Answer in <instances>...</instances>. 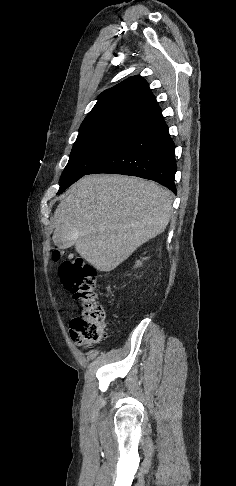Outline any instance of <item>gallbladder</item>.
<instances>
[{
    "label": "gallbladder",
    "instance_id": "bac80fb5",
    "mask_svg": "<svg viewBox=\"0 0 236 486\" xmlns=\"http://www.w3.org/2000/svg\"><path fill=\"white\" fill-rule=\"evenodd\" d=\"M69 232L70 230H64L62 227L55 229L53 241L54 244L60 249H65L72 245L71 242L66 240Z\"/></svg>",
    "mask_w": 236,
    "mask_h": 486
}]
</instances>
